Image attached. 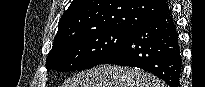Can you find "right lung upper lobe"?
Returning a JSON list of instances; mask_svg holds the SVG:
<instances>
[{
    "label": "right lung upper lobe",
    "instance_id": "right-lung-upper-lobe-1",
    "mask_svg": "<svg viewBox=\"0 0 205 87\" xmlns=\"http://www.w3.org/2000/svg\"><path fill=\"white\" fill-rule=\"evenodd\" d=\"M167 10L166 0H73L62 15L54 43L100 29L134 31Z\"/></svg>",
    "mask_w": 205,
    "mask_h": 87
}]
</instances>
